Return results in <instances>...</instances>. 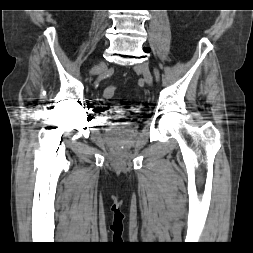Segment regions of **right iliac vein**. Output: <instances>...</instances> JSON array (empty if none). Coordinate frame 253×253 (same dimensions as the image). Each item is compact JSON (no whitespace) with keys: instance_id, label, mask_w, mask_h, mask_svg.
Instances as JSON below:
<instances>
[{"instance_id":"63e3f726","label":"right iliac vein","mask_w":253,"mask_h":253,"mask_svg":"<svg viewBox=\"0 0 253 253\" xmlns=\"http://www.w3.org/2000/svg\"><path fill=\"white\" fill-rule=\"evenodd\" d=\"M104 67H105V63H104L103 61H100V62L91 70V72H92L93 74H98V73H100V72L103 71Z\"/></svg>"}]
</instances>
